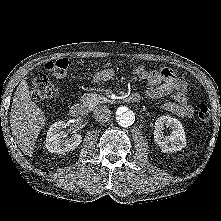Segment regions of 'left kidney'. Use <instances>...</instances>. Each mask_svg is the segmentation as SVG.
<instances>
[{
    "label": "left kidney",
    "instance_id": "1",
    "mask_svg": "<svg viewBox=\"0 0 221 221\" xmlns=\"http://www.w3.org/2000/svg\"><path fill=\"white\" fill-rule=\"evenodd\" d=\"M164 125L172 129L169 136H164ZM154 140L162 152L180 151L186 146V136L181 122L169 115L159 117L155 122Z\"/></svg>",
    "mask_w": 221,
    "mask_h": 221
}]
</instances>
